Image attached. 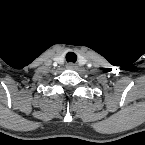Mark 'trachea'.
<instances>
[{"mask_svg":"<svg viewBox=\"0 0 145 145\" xmlns=\"http://www.w3.org/2000/svg\"><path fill=\"white\" fill-rule=\"evenodd\" d=\"M66 60H67V62L75 63L77 60V56L74 52H68L66 54Z\"/></svg>","mask_w":145,"mask_h":145,"instance_id":"trachea-1","label":"trachea"}]
</instances>
